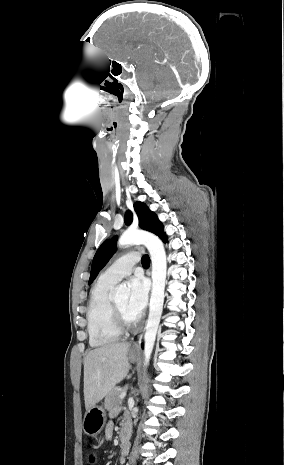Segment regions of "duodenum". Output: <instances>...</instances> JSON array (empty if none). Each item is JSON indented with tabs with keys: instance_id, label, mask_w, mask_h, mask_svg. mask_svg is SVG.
Instances as JSON below:
<instances>
[{
	"instance_id": "410a0bca",
	"label": "duodenum",
	"mask_w": 284,
	"mask_h": 465,
	"mask_svg": "<svg viewBox=\"0 0 284 465\" xmlns=\"http://www.w3.org/2000/svg\"><path fill=\"white\" fill-rule=\"evenodd\" d=\"M120 437H121V440L123 442L127 441L128 437H129V433L127 431H125V430H121Z\"/></svg>"
}]
</instances>
